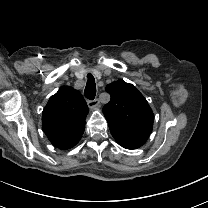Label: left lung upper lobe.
Returning a JSON list of instances; mask_svg holds the SVG:
<instances>
[{
    "label": "left lung upper lobe",
    "mask_w": 208,
    "mask_h": 208,
    "mask_svg": "<svg viewBox=\"0 0 208 208\" xmlns=\"http://www.w3.org/2000/svg\"><path fill=\"white\" fill-rule=\"evenodd\" d=\"M106 91L111 95V100L103 107L108 125L150 135L154 115L137 88L119 79L108 84Z\"/></svg>",
    "instance_id": "5c2ea615"
}]
</instances>
